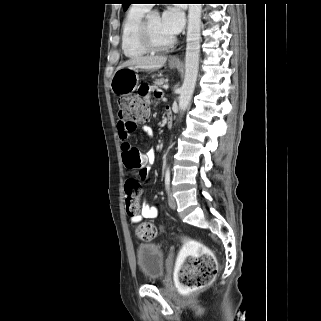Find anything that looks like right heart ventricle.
<instances>
[{"label":"right heart ventricle","mask_w":321,"mask_h":321,"mask_svg":"<svg viewBox=\"0 0 321 321\" xmlns=\"http://www.w3.org/2000/svg\"><path fill=\"white\" fill-rule=\"evenodd\" d=\"M149 8L145 5H133L128 10L121 29V48L127 58H139L149 51L139 41L140 23Z\"/></svg>","instance_id":"obj_1"}]
</instances>
